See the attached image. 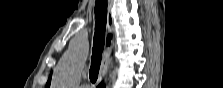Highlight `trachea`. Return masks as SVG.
<instances>
[{
	"label": "trachea",
	"mask_w": 223,
	"mask_h": 88,
	"mask_svg": "<svg viewBox=\"0 0 223 88\" xmlns=\"http://www.w3.org/2000/svg\"><path fill=\"white\" fill-rule=\"evenodd\" d=\"M95 33L92 48L91 67L89 77L92 83L98 78L102 52L105 44V30L107 22V0H96L95 4Z\"/></svg>",
	"instance_id": "1"
}]
</instances>
